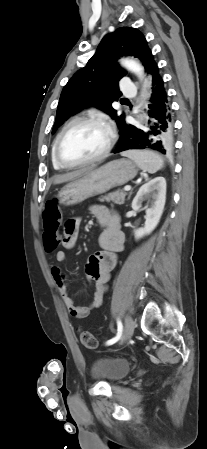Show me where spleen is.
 I'll list each match as a JSON object with an SVG mask.
<instances>
[{
	"label": "spleen",
	"mask_w": 207,
	"mask_h": 449,
	"mask_svg": "<svg viewBox=\"0 0 207 449\" xmlns=\"http://www.w3.org/2000/svg\"><path fill=\"white\" fill-rule=\"evenodd\" d=\"M122 156L133 160L144 172L155 173L164 167L163 158L150 150H128Z\"/></svg>",
	"instance_id": "spleen-1"
}]
</instances>
